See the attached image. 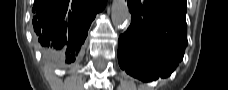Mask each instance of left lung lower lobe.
<instances>
[{"instance_id":"1","label":"left lung lower lobe","mask_w":228,"mask_h":90,"mask_svg":"<svg viewBox=\"0 0 228 90\" xmlns=\"http://www.w3.org/2000/svg\"><path fill=\"white\" fill-rule=\"evenodd\" d=\"M127 2L131 25L119 37L120 67L145 82L170 76L188 45L186 0Z\"/></svg>"}]
</instances>
